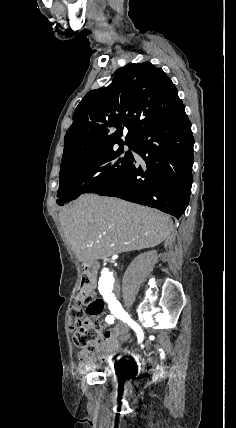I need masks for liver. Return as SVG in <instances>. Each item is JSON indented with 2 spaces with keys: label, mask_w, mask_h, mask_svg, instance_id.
I'll list each match as a JSON object with an SVG mask.
<instances>
[{
  "label": "liver",
  "mask_w": 236,
  "mask_h": 428,
  "mask_svg": "<svg viewBox=\"0 0 236 428\" xmlns=\"http://www.w3.org/2000/svg\"><path fill=\"white\" fill-rule=\"evenodd\" d=\"M59 220L76 258L84 264L121 252L154 248L172 230L167 214L96 194L74 200L59 212Z\"/></svg>",
  "instance_id": "1"
}]
</instances>
